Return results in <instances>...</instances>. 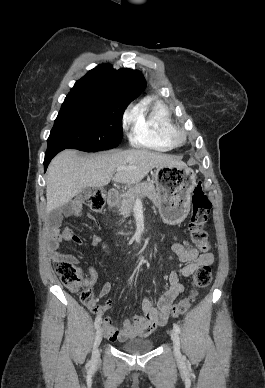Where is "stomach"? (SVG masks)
Wrapping results in <instances>:
<instances>
[{
  "label": "stomach",
  "mask_w": 265,
  "mask_h": 388,
  "mask_svg": "<svg viewBox=\"0 0 265 388\" xmlns=\"http://www.w3.org/2000/svg\"><path fill=\"white\" fill-rule=\"evenodd\" d=\"M154 182L159 195L157 205L164 220L170 224L181 223L190 209L191 193L196 184L194 171L181 165L158 166Z\"/></svg>",
  "instance_id": "obj_1"
}]
</instances>
